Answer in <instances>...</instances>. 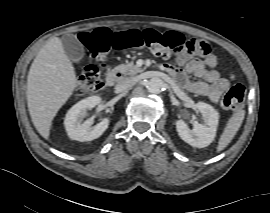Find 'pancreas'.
<instances>
[{"label": "pancreas", "instance_id": "obj_1", "mask_svg": "<svg viewBox=\"0 0 270 213\" xmlns=\"http://www.w3.org/2000/svg\"><path fill=\"white\" fill-rule=\"evenodd\" d=\"M115 70L119 71L123 75H129V76H133L144 71L142 68H139L136 65H134L133 62H127L126 64L118 65L115 68Z\"/></svg>", "mask_w": 270, "mask_h": 213}]
</instances>
